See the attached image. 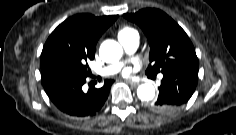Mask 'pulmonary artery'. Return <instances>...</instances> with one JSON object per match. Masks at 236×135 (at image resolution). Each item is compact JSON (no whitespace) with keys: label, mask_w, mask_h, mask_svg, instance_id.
Returning a JSON list of instances; mask_svg holds the SVG:
<instances>
[{"label":"pulmonary artery","mask_w":236,"mask_h":135,"mask_svg":"<svg viewBox=\"0 0 236 135\" xmlns=\"http://www.w3.org/2000/svg\"><path fill=\"white\" fill-rule=\"evenodd\" d=\"M119 41L121 42L122 46L124 47L127 53H133L138 48L139 36L137 34L129 37H123L120 38ZM121 67L122 63L118 62L100 70L99 73L102 75H111L117 73L121 69Z\"/></svg>","instance_id":"obj_1"}]
</instances>
